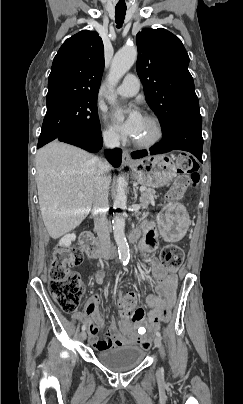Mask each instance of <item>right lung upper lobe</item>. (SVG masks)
Wrapping results in <instances>:
<instances>
[{
  "mask_svg": "<svg viewBox=\"0 0 243 404\" xmlns=\"http://www.w3.org/2000/svg\"><path fill=\"white\" fill-rule=\"evenodd\" d=\"M104 69V47L95 31L68 38L55 56L48 80L47 104L97 98Z\"/></svg>",
  "mask_w": 243,
  "mask_h": 404,
  "instance_id": "cb5924a9",
  "label": "right lung upper lobe"
}]
</instances>
